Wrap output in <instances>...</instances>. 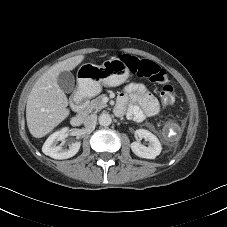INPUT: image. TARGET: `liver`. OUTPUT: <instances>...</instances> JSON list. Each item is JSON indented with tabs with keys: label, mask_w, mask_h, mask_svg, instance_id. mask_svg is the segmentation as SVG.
Listing matches in <instances>:
<instances>
[{
	"label": "liver",
	"mask_w": 227,
	"mask_h": 227,
	"mask_svg": "<svg viewBox=\"0 0 227 227\" xmlns=\"http://www.w3.org/2000/svg\"><path fill=\"white\" fill-rule=\"evenodd\" d=\"M84 60L74 56L54 64L33 86L26 105V121L29 132L35 138L50 133L69 116L68 99L58 85V75L75 69Z\"/></svg>",
	"instance_id": "1"
}]
</instances>
